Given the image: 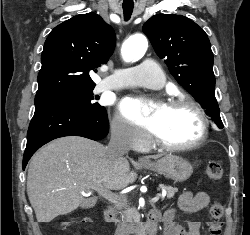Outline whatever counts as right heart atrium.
Wrapping results in <instances>:
<instances>
[{
  "label": "right heart atrium",
  "mask_w": 250,
  "mask_h": 235,
  "mask_svg": "<svg viewBox=\"0 0 250 235\" xmlns=\"http://www.w3.org/2000/svg\"><path fill=\"white\" fill-rule=\"evenodd\" d=\"M110 131L112 137L117 142L128 148H142L149 142V137L146 133L133 126L119 114L113 116L110 122Z\"/></svg>",
  "instance_id": "obj_1"
}]
</instances>
